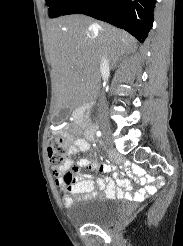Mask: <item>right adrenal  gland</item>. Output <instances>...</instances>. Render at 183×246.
Returning a JSON list of instances; mask_svg holds the SVG:
<instances>
[{
  "label": "right adrenal gland",
  "mask_w": 183,
  "mask_h": 246,
  "mask_svg": "<svg viewBox=\"0 0 183 246\" xmlns=\"http://www.w3.org/2000/svg\"><path fill=\"white\" fill-rule=\"evenodd\" d=\"M114 67H116V62L114 63V65H113V66H111V68H114Z\"/></svg>",
  "instance_id": "2a0ac1e0"
}]
</instances>
